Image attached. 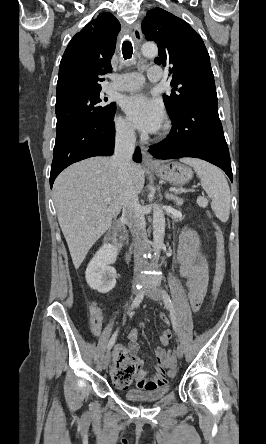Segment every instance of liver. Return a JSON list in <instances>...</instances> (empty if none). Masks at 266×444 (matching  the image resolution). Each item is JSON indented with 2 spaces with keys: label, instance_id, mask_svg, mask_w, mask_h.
<instances>
[{
  "label": "liver",
  "instance_id": "liver-1",
  "mask_svg": "<svg viewBox=\"0 0 266 444\" xmlns=\"http://www.w3.org/2000/svg\"><path fill=\"white\" fill-rule=\"evenodd\" d=\"M144 183L141 165L132 163L125 176L113 158L106 157L75 163L56 178L53 196L58 222L76 269L120 213L127 188L138 194ZM107 198L111 201L106 202Z\"/></svg>",
  "mask_w": 266,
  "mask_h": 444
}]
</instances>
